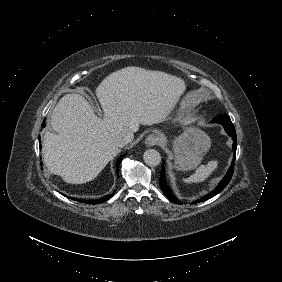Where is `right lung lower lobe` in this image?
<instances>
[{
  "label": "right lung lower lobe",
  "instance_id": "right-lung-lower-lobe-1",
  "mask_svg": "<svg viewBox=\"0 0 282 282\" xmlns=\"http://www.w3.org/2000/svg\"><path fill=\"white\" fill-rule=\"evenodd\" d=\"M42 126L44 127L45 126V123L43 122ZM41 147V146H40ZM123 157H125V155H123ZM122 161V156L117 160L116 162V168H117V173H119V165ZM114 195V193L110 194V195H107L105 197H102L100 199H95V200H85V199H76V198H71L72 200H77V201H80L82 203H87V204H100L108 199H110L112 196Z\"/></svg>",
  "mask_w": 282,
  "mask_h": 282
}]
</instances>
